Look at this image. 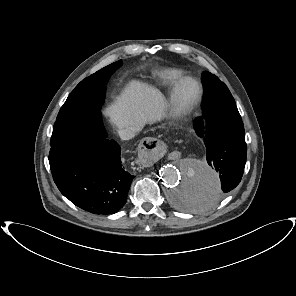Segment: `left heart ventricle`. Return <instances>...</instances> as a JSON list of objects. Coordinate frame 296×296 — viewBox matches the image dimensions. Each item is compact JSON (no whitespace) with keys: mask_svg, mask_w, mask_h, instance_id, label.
<instances>
[{"mask_svg":"<svg viewBox=\"0 0 296 296\" xmlns=\"http://www.w3.org/2000/svg\"><path fill=\"white\" fill-rule=\"evenodd\" d=\"M182 96L183 97H190L195 93V86L192 83H187L182 88Z\"/></svg>","mask_w":296,"mask_h":296,"instance_id":"obj_1","label":"left heart ventricle"}]
</instances>
